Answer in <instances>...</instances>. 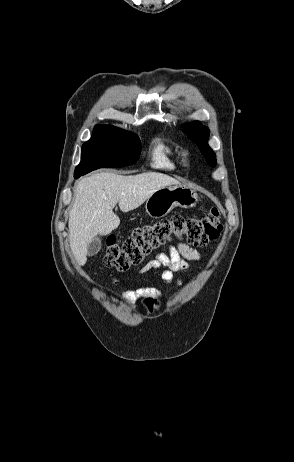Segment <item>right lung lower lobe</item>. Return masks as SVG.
I'll list each match as a JSON object with an SVG mask.
<instances>
[{"mask_svg": "<svg viewBox=\"0 0 294 462\" xmlns=\"http://www.w3.org/2000/svg\"><path fill=\"white\" fill-rule=\"evenodd\" d=\"M116 165V160L112 155L101 153L94 157L90 170L92 171L102 167H117ZM80 176L81 175L75 176V178H79Z\"/></svg>", "mask_w": 294, "mask_h": 462, "instance_id": "98d812e1", "label": "right lung lower lobe"}]
</instances>
